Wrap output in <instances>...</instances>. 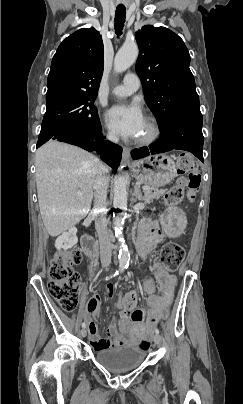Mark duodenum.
<instances>
[{"mask_svg": "<svg viewBox=\"0 0 243 404\" xmlns=\"http://www.w3.org/2000/svg\"><path fill=\"white\" fill-rule=\"evenodd\" d=\"M81 245H82L83 252L87 256L92 257V258H95L98 256V249H97L96 243L90 235L84 234L82 236Z\"/></svg>", "mask_w": 243, "mask_h": 404, "instance_id": "1", "label": "duodenum"}]
</instances>
